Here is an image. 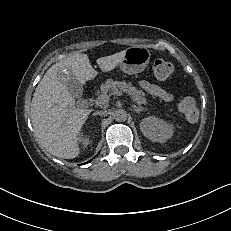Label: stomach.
<instances>
[{
    "mask_svg": "<svg viewBox=\"0 0 231 231\" xmlns=\"http://www.w3.org/2000/svg\"><path fill=\"white\" fill-rule=\"evenodd\" d=\"M150 56V51L144 46L129 47L119 63L120 69L128 75L138 74L147 67Z\"/></svg>",
    "mask_w": 231,
    "mask_h": 231,
    "instance_id": "0dacf381",
    "label": "stomach"
}]
</instances>
